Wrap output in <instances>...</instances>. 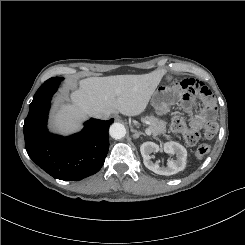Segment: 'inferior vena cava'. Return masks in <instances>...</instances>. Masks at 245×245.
I'll list each match as a JSON object with an SVG mask.
<instances>
[{"instance_id":"obj_1","label":"inferior vena cava","mask_w":245,"mask_h":245,"mask_svg":"<svg viewBox=\"0 0 245 245\" xmlns=\"http://www.w3.org/2000/svg\"><path fill=\"white\" fill-rule=\"evenodd\" d=\"M94 117L98 118V119H107L108 115L106 113H96L94 115Z\"/></svg>"}]
</instances>
